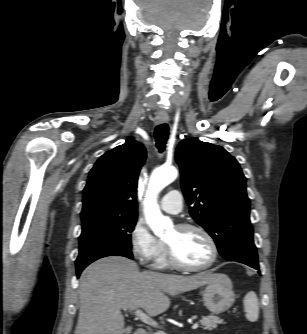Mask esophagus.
Masks as SVG:
<instances>
[{
  "instance_id": "obj_1",
  "label": "esophagus",
  "mask_w": 307,
  "mask_h": 334,
  "mask_svg": "<svg viewBox=\"0 0 307 334\" xmlns=\"http://www.w3.org/2000/svg\"><path fill=\"white\" fill-rule=\"evenodd\" d=\"M168 121H169L168 115H158L156 117V123L157 124L167 123Z\"/></svg>"
}]
</instances>
